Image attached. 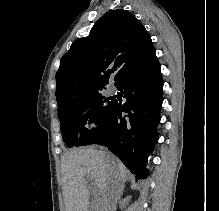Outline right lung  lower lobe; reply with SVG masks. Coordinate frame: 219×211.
Masks as SVG:
<instances>
[{"mask_svg": "<svg viewBox=\"0 0 219 211\" xmlns=\"http://www.w3.org/2000/svg\"><path fill=\"white\" fill-rule=\"evenodd\" d=\"M116 87L126 102L114 100L108 117L93 130L86 145H106L137 179H145L149 174L145 163L157 142L163 102V80L157 57L131 71ZM123 112L128 115H122Z\"/></svg>", "mask_w": 219, "mask_h": 211, "instance_id": "98d812e1", "label": "right lung lower lobe"}]
</instances>
